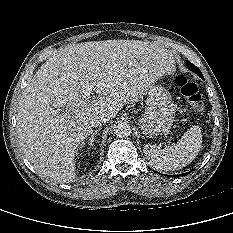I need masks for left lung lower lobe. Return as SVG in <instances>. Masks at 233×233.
<instances>
[{"instance_id": "0a47b994", "label": "left lung lower lobe", "mask_w": 233, "mask_h": 233, "mask_svg": "<svg viewBox=\"0 0 233 233\" xmlns=\"http://www.w3.org/2000/svg\"><path fill=\"white\" fill-rule=\"evenodd\" d=\"M187 174H189V172H188V173L183 174V176H185V175H187Z\"/></svg>"}]
</instances>
